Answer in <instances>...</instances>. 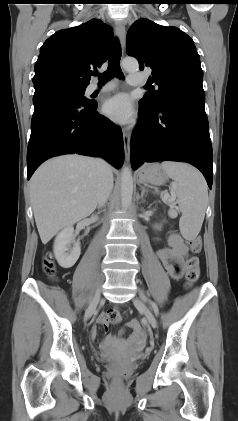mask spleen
<instances>
[{
    "label": "spleen",
    "mask_w": 238,
    "mask_h": 421,
    "mask_svg": "<svg viewBox=\"0 0 238 421\" xmlns=\"http://www.w3.org/2000/svg\"><path fill=\"white\" fill-rule=\"evenodd\" d=\"M167 176L174 180V190L182 213L179 226L186 239L195 238L201 230L208 202V189L203 175L183 162L164 161L161 164Z\"/></svg>",
    "instance_id": "3e777b00"
}]
</instances>
